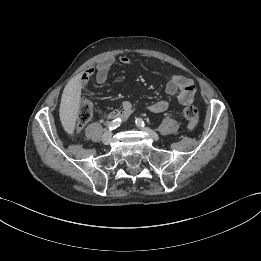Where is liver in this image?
<instances>
[{"label":"liver","mask_w":261,"mask_h":261,"mask_svg":"<svg viewBox=\"0 0 261 261\" xmlns=\"http://www.w3.org/2000/svg\"><path fill=\"white\" fill-rule=\"evenodd\" d=\"M81 88L80 78L75 76L67 83L62 93L60 119L70 129L74 128L77 119Z\"/></svg>","instance_id":"1"}]
</instances>
